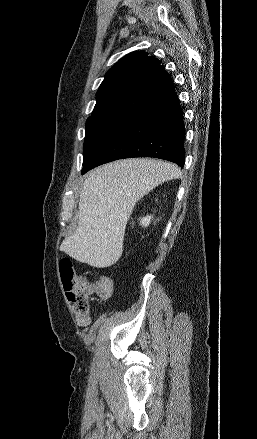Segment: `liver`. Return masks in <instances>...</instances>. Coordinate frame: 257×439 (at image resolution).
<instances>
[{
  "mask_svg": "<svg viewBox=\"0 0 257 439\" xmlns=\"http://www.w3.org/2000/svg\"><path fill=\"white\" fill-rule=\"evenodd\" d=\"M179 168L156 159H123L98 167L84 181L78 226L60 250L96 268L122 255L127 222L136 203L159 184L179 178Z\"/></svg>",
  "mask_w": 257,
  "mask_h": 439,
  "instance_id": "6515ba94",
  "label": "liver"
}]
</instances>
